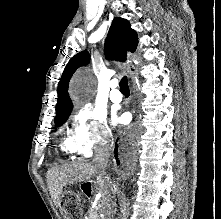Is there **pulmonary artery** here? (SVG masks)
Masks as SVG:
<instances>
[{
  "label": "pulmonary artery",
  "mask_w": 221,
  "mask_h": 219,
  "mask_svg": "<svg viewBox=\"0 0 221 219\" xmlns=\"http://www.w3.org/2000/svg\"><path fill=\"white\" fill-rule=\"evenodd\" d=\"M119 83L117 80H113L110 83L111 92H110V100L114 103H120L123 99L122 94L118 90Z\"/></svg>",
  "instance_id": "1"
}]
</instances>
